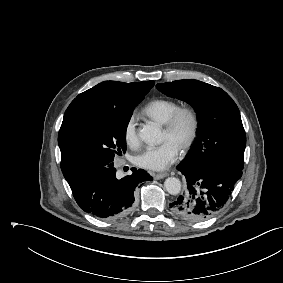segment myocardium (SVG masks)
<instances>
[{
    "mask_svg": "<svg viewBox=\"0 0 283 283\" xmlns=\"http://www.w3.org/2000/svg\"><path fill=\"white\" fill-rule=\"evenodd\" d=\"M185 120L189 122V130L180 144V149L182 150L189 149L197 138L200 127V118L197 110L193 106L179 107L164 125V131L169 135H175Z\"/></svg>",
    "mask_w": 283,
    "mask_h": 283,
    "instance_id": "obj_1",
    "label": "myocardium"
}]
</instances>
